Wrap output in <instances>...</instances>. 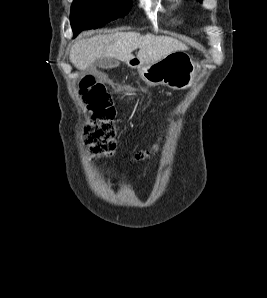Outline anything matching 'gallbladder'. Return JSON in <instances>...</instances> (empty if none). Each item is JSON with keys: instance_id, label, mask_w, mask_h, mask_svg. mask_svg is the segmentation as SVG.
<instances>
[{"instance_id": "bac80fb5", "label": "gallbladder", "mask_w": 267, "mask_h": 298, "mask_svg": "<svg viewBox=\"0 0 267 298\" xmlns=\"http://www.w3.org/2000/svg\"><path fill=\"white\" fill-rule=\"evenodd\" d=\"M116 62L112 58H103V59H98L94 62L93 66H90L86 69V72L88 74H93L95 72V67L99 68H109L112 66H115Z\"/></svg>"}]
</instances>
